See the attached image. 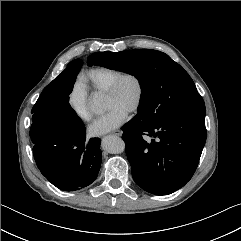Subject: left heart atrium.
Masks as SVG:
<instances>
[{
  "label": "left heart atrium",
  "mask_w": 241,
  "mask_h": 241,
  "mask_svg": "<svg viewBox=\"0 0 241 241\" xmlns=\"http://www.w3.org/2000/svg\"><path fill=\"white\" fill-rule=\"evenodd\" d=\"M127 113L119 107L110 108L89 127V134L97 137L115 130L126 121Z\"/></svg>",
  "instance_id": "left-heart-atrium-1"
}]
</instances>
